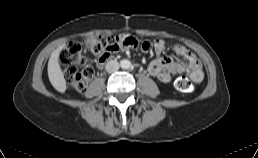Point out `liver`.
I'll return each mask as SVG.
<instances>
[{
    "instance_id": "obj_1",
    "label": "liver",
    "mask_w": 258,
    "mask_h": 158,
    "mask_svg": "<svg viewBox=\"0 0 258 158\" xmlns=\"http://www.w3.org/2000/svg\"><path fill=\"white\" fill-rule=\"evenodd\" d=\"M65 48V44L59 46L55 51L52 52L48 61V77L52 86L61 93L66 90V80L64 74L59 65V55L62 49Z\"/></svg>"
}]
</instances>
